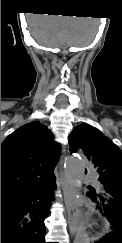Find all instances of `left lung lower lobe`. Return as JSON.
Instances as JSON below:
<instances>
[{"label":"left lung lower lobe","mask_w":122,"mask_h":243,"mask_svg":"<svg viewBox=\"0 0 122 243\" xmlns=\"http://www.w3.org/2000/svg\"><path fill=\"white\" fill-rule=\"evenodd\" d=\"M103 194L89 188L87 195L95 203L96 208L104 213L111 223L112 232L106 238L95 243H122V219H118L113 212L122 202V174H105L99 177Z\"/></svg>","instance_id":"left-lung-lower-lobe-1"}]
</instances>
